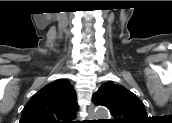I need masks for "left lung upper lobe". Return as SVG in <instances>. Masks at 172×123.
<instances>
[{
	"instance_id": "5c2ea615",
	"label": "left lung upper lobe",
	"mask_w": 172,
	"mask_h": 123,
	"mask_svg": "<svg viewBox=\"0 0 172 123\" xmlns=\"http://www.w3.org/2000/svg\"><path fill=\"white\" fill-rule=\"evenodd\" d=\"M95 105L106 106L114 119L111 123H142L147 120L144 104L122 85L109 81L93 95Z\"/></svg>"
}]
</instances>
